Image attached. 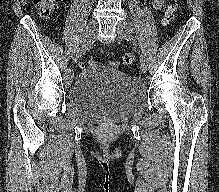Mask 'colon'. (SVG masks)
Returning <instances> with one entry per match:
<instances>
[{
	"instance_id": "obj_1",
	"label": "colon",
	"mask_w": 219,
	"mask_h": 192,
	"mask_svg": "<svg viewBox=\"0 0 219 192\" xmlns=\"http://www.w3.org/2000/svg\"><path fill=\"white\" fill-rule=\"evenodd\" d=\"M35 7L42 16L51 15L55 11L54 0H33ZM175 18V6L169 5L164 12L163 22L170 23ZM136 62V57L133 53H126L122 56V64L129 66ZM91 65L95 64L94 60H90ZM115 64V63H113Z\"/></svg>"
}]
</instances>
